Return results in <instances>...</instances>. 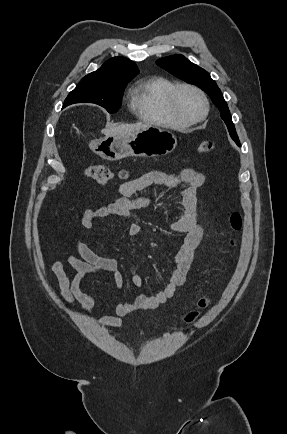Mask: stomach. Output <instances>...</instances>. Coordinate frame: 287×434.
Returning <instances> with one entry per match:
<instances>
[{"label":"stomach","mask_w":287,"mask_h":434,"mask_svg":"<svg viewBox=\"0 0 287 434\" xmlns=\"http://www.w3.org/2000/svg\"><path fill=\"white\" fill-rule=\"evenodd\" d=\"M177 145L175 135L165 129L149 126L132 135H112L94 140L90 148L101 158L117 161L123 158L156 157L171 153Z\"/></svg>","instance_id":"0dacf381"}]
</instances>
